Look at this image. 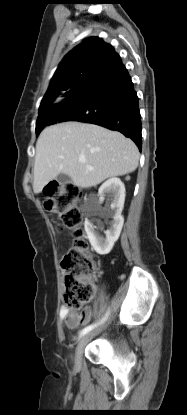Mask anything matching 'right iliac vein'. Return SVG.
<instances>
[{
    "label": "right iliac vein",
    "instance_id": "right-iliac-vein-1",
    "mask_svg": "<svg viewBox=\"0 0 187 415\" xmlns=\"http://www.w3.org/2000/svg\"><path fill=\"white\" fill-rule=\"evenodd\" d=\"M100 330H95L92 331L86 335H84L80 341L78 342L76 349H75V354H74V361L76 365H80L81 361H82V356H83V351L84 348L86 346V344L88 343V341L94 336L96 335Z\"/></svg>",
    "mask_w": 187,
    "mask_h": 415
}]
</instances>
